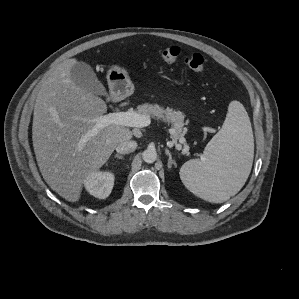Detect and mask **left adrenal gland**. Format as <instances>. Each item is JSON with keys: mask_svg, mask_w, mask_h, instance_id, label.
<instances>
[{"mask_svg": "<svg viewBox=\"0 0 299 299\" xmlns=\"http://www.w3.org/2000/svg\"><path fill=\"white\" fill-rule=\"evenodd\" d=\"M165 153L166 155L169 157V160H168V168L170 169L172 167V165H174L176 167V163L175 161L172 159V155L171 153L169 152L168 149H165Z\"/></svg>", "mask_w": 299, "mask_h": 299, "instance_id": "1", "label": "left adrenal gland"}]
</instances>
